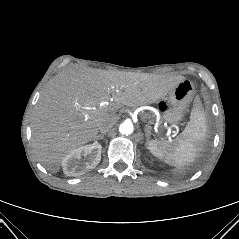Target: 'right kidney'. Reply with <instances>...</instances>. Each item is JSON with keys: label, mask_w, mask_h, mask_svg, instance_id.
<instances>
[{"label": "right kidney", "mask_w": 239, "mask_h": 239, "mask_svg": "<svg viewBox=\"0 0 239 239\" xmlns=\"http://www.w3.org/2000/svg\"><path fill=\"white\" fill-rule=\"evenodd\" d=\"M102 146L93 143L81 146L68 153L62 160L64 174L67 176H80L95 168L101 160ZM85 157L83 161L81 158Z\"/></svg>", "instance_id": "1"}]
</instances>
